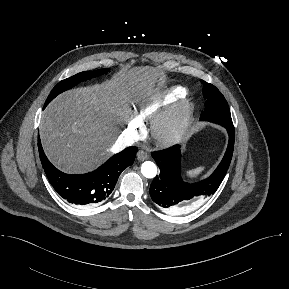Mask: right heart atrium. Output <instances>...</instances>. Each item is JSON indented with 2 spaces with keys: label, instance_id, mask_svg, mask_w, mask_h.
I'll return each instance as SVG.
<instances>
[{
  "label": "right heart atrium",
  "instance_id": "1",
  "mask_svg": "<svg viewBox=\"0 0 289 289\" xmlns=\"http://www.w3.org/2000/svg\"><path fill=\"white\" fill-rule=\"evenodd\" d=\"M141 131V124L139 123L138 120H131L125 129V133L127 134V136L131 137V138H136Z\"/></svg>",
  "mask_w": 289,
  "mask_h": 289
}]
</instances>
